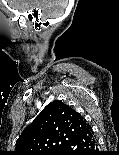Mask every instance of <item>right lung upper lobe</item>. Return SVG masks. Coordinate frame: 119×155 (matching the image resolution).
Here are the masks:
<instances>
[{
	"label": "right lung upper lobe",
	"mask_w": 119,
	"mask_h": 155,
	"mask_svg": "<svg viewBox=\"0 0 119 155\" xmlns=\"http://www.w3.org/2000/svg\"><path fill=\"white\" fill-rule=\"evenodd\" d=\"M89 127L78 112L55 100L24 129L12 155H58Z\"/></svg>",
	"instance_id": "obj_1"
}]
</instances>
